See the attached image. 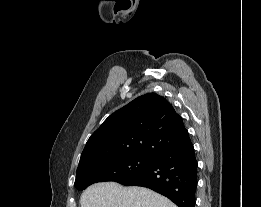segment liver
Listing matches in <instances>:
<instances>
[{
    "label": "liver",
    "mask_w": 261,
    "mask_h": 207,
    "mask_svg": "<svg viewBox=\"0 0 261 207\" xmlns=\"http://www.w3.org/2000/svg\"><path fill=\"white\" fill-rule=\"evenodd\" d=\"M81 207H177L168 198L143 187H123L116 182L89 186L81 195Z\"/></svg>",
    "instance_id": "1"
}]
</instances>
